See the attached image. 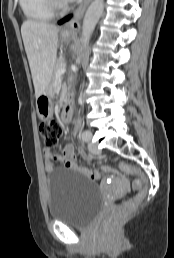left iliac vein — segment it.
Returning <instances> with one entry per match:
<instances>
[{
  "mask_svg": "<svg viewBox=\"0 0 174 258\" xmlns=\"http://www.w3.org/2000/svg\"><path fill=\"white\" fill-rule=\"evenodd\" d=\"M91 134V133H90ZM91 137H92V134H91ZM89 151L92 153V154H99L100 151L99 149L95 146V144L93 143H89Z\"/></svg>",
  "mask_w": 174,
  "mask_h": 258,
  "instance_id": "1",
  "label": "left iliac vein"
}]
</instances>
